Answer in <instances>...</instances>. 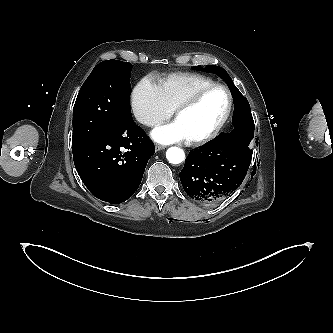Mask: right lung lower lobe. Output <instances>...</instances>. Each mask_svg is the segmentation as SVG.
I'll use <instances>...</instances> for the list:
<instances>
[{
    "label": "right lung lower lobe",
    "mask_w": 333,
    "mask_h": 333,
    "mask_svg": "<svg viewBox=\"0 0 333 333\" xmlns=\"http://www.w3.org/2000/svg\"><path fill=\"white\" fill-rule=\"evenodd\" d=\"M154 153V144L130 116L118 127L73 150V158L87 189L102 201L118 204L138 189Z\"/></svg>",
    "instance_id": "right-lung-lower-lobe-1"
}]
</instances>
